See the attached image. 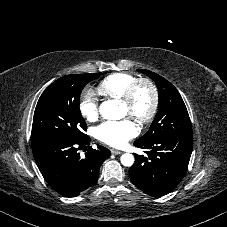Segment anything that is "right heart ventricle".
<instances>
[{
	"instance_id": "1",
	"label": "right heart ventricle",
	"mask_w": 227,
	"mask_h": 227,
	"mask_svg": "<svg viewBox=\"0 0 227 227\" xmlns=\"http://www.w3.org/2000/svg\"><path fill=\"white\" fill-rule=\"evenodd\" d=\"M137 79L130 73L116 72L100 81L96 91L105 98L121 99L127 88Z\"/></svg>"
}]
</instances>
